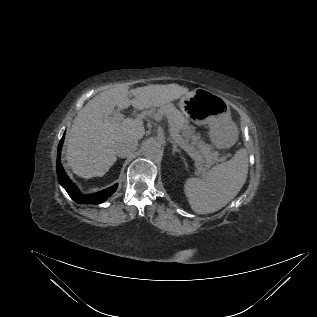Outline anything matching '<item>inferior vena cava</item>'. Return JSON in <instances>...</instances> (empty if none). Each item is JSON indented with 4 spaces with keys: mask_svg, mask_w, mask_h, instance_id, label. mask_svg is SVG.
I'll use <instances>...</instances> for the list:
<instances>
[{
    "mask_svg": "<svg viewBox=\"0 0 317 317\" xmlns=\"http://www.w3.org/2000/svg\"><path fill=\"white\" fill-rule=\"evenodd\" d=\"M138 141L135 139H126L116 144L115 153L119 157H126L127 154L137 148Z\"/></svg>",
    "mask_w": 317,
    "mask_h": 317,
    "instance_id": "obj_1",
    "label": "inferior vena cava"
}]
</instances>
